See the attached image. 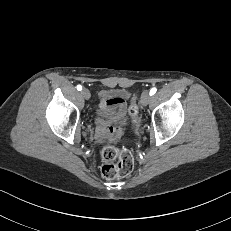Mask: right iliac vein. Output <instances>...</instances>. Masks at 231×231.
I'll use <instances>...</instances> for the list:
<instances>
[{
    "mask_svg": "<svg viewBox=\"0 0 231 231\" xmlns=\"http://www.w3.org/2000/svg\"><path fill=\"white\" fill-rule=\"evenodd\" d=\"M81 95H82V97H83L84 99H86V100H88V99L90 98V96H91L89 90H87V89H83V90L81 91Z\"/></svg>",
    "mask_w": 231,
    "mask_h": 231,
    "instance_id": "1",
    "label": "right iliac vein"
}]
</instances>
